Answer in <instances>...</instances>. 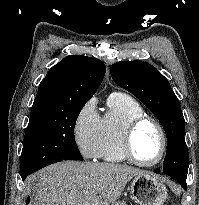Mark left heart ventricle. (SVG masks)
Segmentation results:
<instances>
[{
    "instance_id": "b2bd125f",
    "label": "left heart ventricle",
    "mask_w": 199,
    "mask_h": 205,
    "mask_svg": "<svg viewBox=\"0 0 199 205\" xmlns=\"http://www.w3.org/2000/svg\"><path fill=\"white\" fill-rule=\"evenodd\" d=\"M135 156L143 162L156 160L161 151V138L153 124L145 123L135 132L133 138Z\"/></svg>"
}]
</instances>
